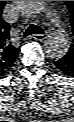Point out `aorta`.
<instances>
[{"instance_id": "762f6f07", "label": "aorta", "mask_w": 74, "mask_h": 122, "mask_svg": "<svg viewBox=\"0 0 74 122\" xmlns=\"http://www.w3.org/2000/svg\"><path fill=\"white\" fill-rule=\"evenodd\" d=\"M19 11L27 16L38 15L45 11L46 1H15ZM45 52L51 59H60L66 55L70 47L68 32L59 28L52 32L45 41Z\"/></svg>"}]
</instances>
